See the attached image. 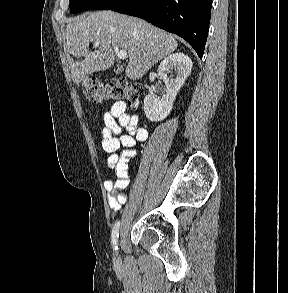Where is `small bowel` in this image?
<instances>
[{
    "instance_id": "obj_1",
    "label": "small bowel",
    "mask_w": 288,
    "mask_h": 293,
    "mask_svg": "<svg viewBox=\"0 0 288 293\" xmlns=\"http://www.w3.org/2000/svg\"><path fill=\"white\" fill-rule=\"evenodd\" d=\"M104 128L101 134L102 149L109 154L107 163L114 170L115 178L104 182L108 192V204L117 212L127 201L123 189L129 183L128 163L136 153L137 142L148 138V131L139 125V116L129 114L127 106L123 101L114 103L104 114ZM124 147L122 153L117 151Z\"/></svg>"
}]
</instances>
